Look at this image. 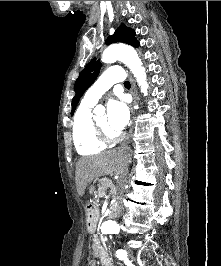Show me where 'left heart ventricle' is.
Returning a JSON list of instances; mask_svg holds the SVG:
<instances>
[{"instance_id": "b2bd125f", "label": "left heart ventricle", "mask_w": 221, "mask_h": 266, "mask_svg": "<svg viewBox=\"0 0 221 266\" xmlns=\"http://www.w3.org/2000/svg\"><path fill=\"white\" fill-rule=\"evenodd\" d=\"M97 123L102 127L104 128L105 130H107L108 132L110 133H115L117 131L113 130L110 125H109V122H108V117L106 114L100 116L98 119H97Z\"/></svg>"}]
</instances>
